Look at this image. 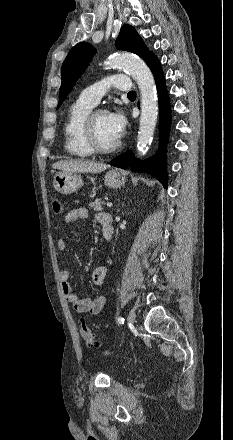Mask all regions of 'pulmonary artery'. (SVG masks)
Returning <instances> with one entry per match:
<instances>
[{"mask_svg":"<svg viewBox=\"0 0 233 440\" xmlns=\"http://www.w3.org/2000/svg\"><path fill=\"white\" fill-rule=\"evenodd\" d=\"M109 86H113L122 91H129L131 89L129 77L127 75L116 74L95 82L84 89L79 95V100L94 107L99 103Z\"/></svg>","mask_w":233,"mask_h":440,"instance_id":"pulmonary-artery-1","label":"pulmonary artery"}]
</instances>
